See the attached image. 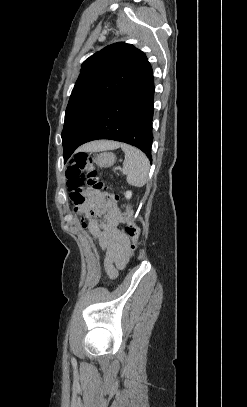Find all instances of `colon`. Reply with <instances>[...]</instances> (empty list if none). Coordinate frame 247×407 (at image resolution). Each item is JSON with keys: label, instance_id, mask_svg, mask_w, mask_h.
<instances>
[{"label": "colon", "instance_id": "obj_1", "mask_svg": "<svg viewBox=\"0 0 247 407\" xmlns=\"http://www.w3.org/2000/svg\"><path fill=\"white\" fill-rule=\"evenodd\" d=\"M66 176L67 186L75 204L84 202V192L86 191H102L108 188L101 180L92 157L86 153H78L74 156L68 165ZM113 198L118 200L119 196L115 194ZM122 217L126 223V233L130 238L129 252L132 257L137 249L141 231L133 221L129 206L124 207Z\"/></svg>", "mask_w": 247, "mask_h": 407}]
</instances>
